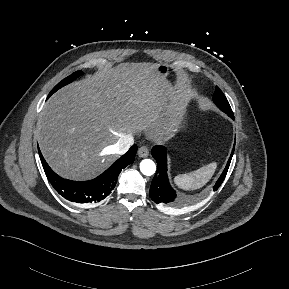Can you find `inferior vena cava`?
<instances>
[{
    "instance_id": "602c4592",
    "label": "inferior vena cava",
    "mask_w": 289,
    "mask_h": 289,
    "mask_svg": "<svg viewBox=\"0 0 289 289\" xmlns=\"http://www.w3.org/2000/svg\"><path fill=\"white\" fill-rule=\"evenodd\" d=\"M134 143L133 136L130 134H124L119 138L117 143L113 145L114 153L124 154Z\"/></svg>"
}]
</instances>
